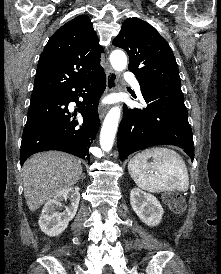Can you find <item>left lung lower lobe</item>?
<instances>
[{"label":"left lung lower lobe","instance_id":"0a47b994","mask_svg":"<svg viewBox=\"0 0 221 274\" xmlns=\"http://www.w3.org/2000/svg\"><path fill=\"white\" fill-rule=\"evenodd\" d=\"M140 87L147 106L130 109L124 105L117 140L120 160L150 146L175 145L193 161V134L184 97L164 96Z\"/></svg>","mask_w":221,"mask_h":274}]
</instances>
